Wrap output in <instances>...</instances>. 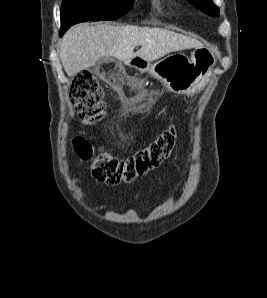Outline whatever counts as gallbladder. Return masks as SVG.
Masks as SVG:
<instances>
[{"label":"gallbladder","mask_w":267,"mask_h":298,"mask_svg":"<svg viewBox=\"0 0 267 298\" xmlns=\"http://www.w3.org/2000/svg\"><path fill=\"white\" fill-rule=\"evenodd\" d=\"M110 60H111V58H102V59L97 60L96 64H100V63L107 62Z\"/></svg>","instance_id":"1"}]
</instances>
